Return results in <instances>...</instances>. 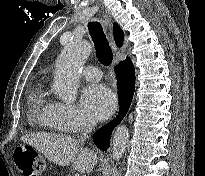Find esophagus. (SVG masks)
<instances>
[{
  "label": "esophagus",
  "mask_w": 205,
  "mask_h": 176,
  "mask_svg": "<svg viewBox=\"0 0 205 176\" xmlns=\"http://www.w3.org/2000/svg\"><path fill=\"white\" fill-rule=\"evenodd\" d=\"M104 24H105V26L109 27L110 26V20L109 19H105L104 20Z\"/></svg>",
  "instance_id": "34e87169"
}]
</instances>
